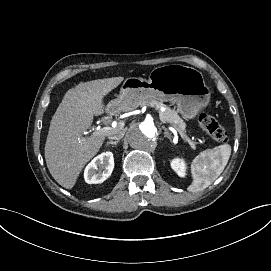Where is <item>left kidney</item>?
Wrapping results in <instances>:
<instances>
[{
	"label": "left kidney",
	"mask_w": 271,
	"mask_h": 271,
	"mask_svg": "<svg viewBox=\"0 0 271 271\" xmlns=\"http://www.w3.org/2000/svg\"><path fill=\"white\" fill-rule=\"evenodd\" d=\"M171 166L180 176L184 175V162L181 159L173 160Z\"/></svg>",
	"instance_id": "obj_1"
}]
</instances>
